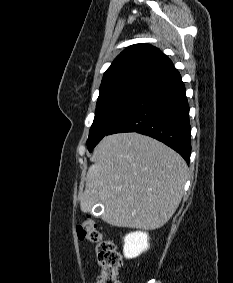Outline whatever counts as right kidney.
Wrapping results in <instances>:
<instances>
[{"label":"right kidney","instance_id":"1","mask_svg":"<svg viewBox=\"0 0 233 283\" xmlns=\"http://www.w3.org/2000/svg\"><path fill=\"white\" fill-rule=\"evenodd\" d=\"M148 239L146 232L136 231L127 234L124 237V256L128 259L139 256L149 248Z\"/></svg>","mask_w":233,"mask_h":283}]
</instances>
